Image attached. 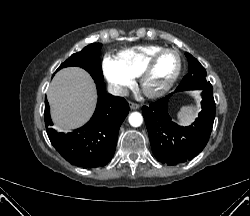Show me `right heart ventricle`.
<instances>
[{"mask_svg": "<svg viewBox=\"0 0 250 216\" xmlns=\"http://www.w3.org/2000/svg\"><path fill=\"white\" fill-rule=\"evenodd\" d=\"M163 48L160 45L136 46L118 53L116 60L129 75L135 78L139 76L149 58Z\"/></svg>", "mask_w": 250, "mask_h": 216, "instance_id": "right-heart-ventricle-1", "label": "right heart ventricle"}]
</instances>
